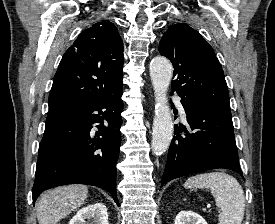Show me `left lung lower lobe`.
I'll use <instances>...</instances> for the list:
<instances>
[{"instance_id":"obj_1","label":"left lung lower lobe","mask_w":275,"mask_h":224,"mask_svg":"<svg viewBox=\"0 0 275 224\" xmlns=\"http://www.w3.org/2000/svg\"><path fill=\"white\" fill-rule=\"evenodd\" d=\"M193 133L175 125L161 186L199 171L227 168L242 175L231 113L206 107L181 97ZM184 131L188 135L181 136Z\"/></svg>"}]
</instances>
